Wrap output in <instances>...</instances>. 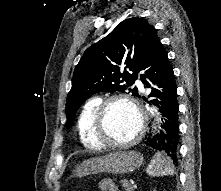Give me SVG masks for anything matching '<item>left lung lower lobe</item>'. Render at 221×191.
<instances>
[{
	"label": "left lung lower lobe",
	"mask_w": 221,
	"mask_h": 191,
	"mask_svg": "<svg viewBox=\"0 0 221 191\" xmlns=\"http://www.w3.org/2000/svg\"><path fill=\"white\" fill-rule=\"evenodd\" d=\"M141 72L140 80L145 87L155 86L149 96L157 98L152 102L160 108L163 121L162 130L148 138L149 145L175 162L179 146L177 87L167 52L158 38L152 42Z\"/></svg>",
	"instance_id": "0a47b994"
}]
</instances>
